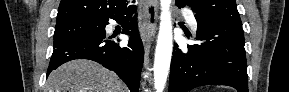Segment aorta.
<instances>
[{
    "instance_id": "762f6f07",
    "label": "aorta",
    "mask_w": 289,
    "mask_h": 92,
    "mask_svg": "<svg viewBox=\"0 0 289 92\" xmlns=\"http://www.w3.org/2000/svg\"><path fill=\"white\" fill-rule=\"evenodd\" d=\"M170 4L171 0H160V26L154 61V86L156 92H163L172 56L173 34Z\"/></svg>"
}]
</instances>
